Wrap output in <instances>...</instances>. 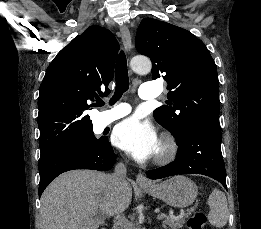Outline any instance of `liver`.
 Returning <instances> with one entry per match:
<instances>
[{
    "mask_svg": "<svg viewBox=\"0 0 261 229\" xmlns=\"http://www.w3.org/2000/svg\"><path fill=\"white\" fill-rule=\"evenodd\" d=\"M108 177L99 171H68L57 177L40 199V229H98L126 211L132 199L129 183L112 195Z\"/></svg>",
    "mask_w": 261,
    "mask_h": 229,
    "instance_id": "liver-1",
    "label": "liver"
}]
</instances>
